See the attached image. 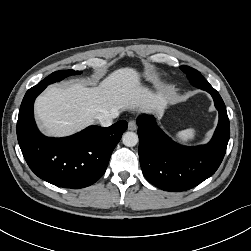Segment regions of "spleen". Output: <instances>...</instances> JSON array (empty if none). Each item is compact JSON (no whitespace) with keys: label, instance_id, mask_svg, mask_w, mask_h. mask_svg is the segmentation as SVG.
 <instances>
[{"label":"spleen","instance_id":"spleen-1","mask_svg":"<svg viewBox=\"0 0 251 251\" xmlns=\"http://www.w3.org/2000/svg\"><path fill=\"white\" fill-rule=\"evenodd\" d=\"M174 137L181 143H189L195 139L196 131L194 128H189L176 133Z\"/></svg>","mask_w":251,"mask_h":251}]
</instances>
